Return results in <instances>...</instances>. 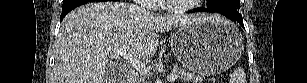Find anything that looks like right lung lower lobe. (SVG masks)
I'll use <instances>...</instances> for the list:
<instances>
[{"label":"right lung lower lobe","mask_w":307,"mask_h":83,"mask_svg":"<svg viewBox=\"0 0 307 83\" xmlns=\"http://www.w3.org/2000/svg\"><path fill=\"white\" fill-rule=\"evenodd\" d=\"M91 0H64L63 2V6H62V14L60 17V21L62 20V18L67 15L72 9H74L75 7L88 3Z\"/></svg>","instance_id":"obj_1"}]
</instances>
